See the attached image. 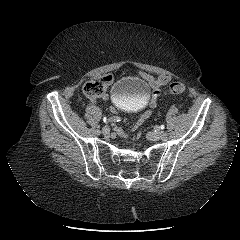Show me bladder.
I'll return each mask as SVG.
<instances>
[{
  "instance_id": "31cf9c89",
  "label": "bladder",
  "mask_w": 240,
  "mask_h": 240,
  "mask_svg": "<svg viewBox=\"0 0 240 240\" xmlns=\"http://www.w3.org/2000/svg\"><path fill=\"white\" fill-rule=\"evenodd\" d=\"M149 94L148 84L135 77H123L111 88V96L115 105L125 111L140 109L146 103Z\"/></svg>"
}]
</instances>
